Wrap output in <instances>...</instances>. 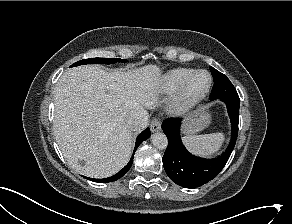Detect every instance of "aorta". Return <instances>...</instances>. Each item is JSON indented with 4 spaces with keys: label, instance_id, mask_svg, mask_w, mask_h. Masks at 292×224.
I'll return each mask as SVG.
<instances>
[{
    "label": "aorta",
    "instance_id": "aorta-1",
    "mask_svg": "<svg viewBox=\"0 0 292 224\" xmlns=\"http://www.w3.org/2000/svg\"><path fill=\"white\" fill-rule=\"evenodd\" d=\"M151 139L153 145L158 149H166L168 146V139L162 132L154 133Z\"/></svg>",
    "mask_w": 292,
    "mask_h": 224
}]
</instances>
